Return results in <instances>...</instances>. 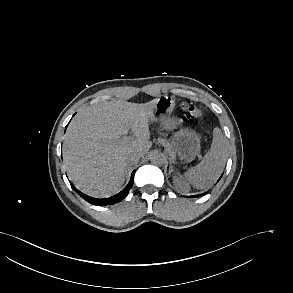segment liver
Returning a JSON list of instances; mask_svg holds the SVG:
<instances>
[{"instance_id":"6515ba94","label":"liver","mask_w":293,"mask_h":293,"mask_svg":"<svg viewBox=\"0 0 293 293\" xmlns=\"http://www.w3.org/2000/svg\"><path fill=\"white\" fill-rule=\"evenodd\" d=\"M157 101H106L75 115L65 135L63 161L78 189L96 197H109L121 189L128 154L143 157L152 147L149 121ZM129 128L134 138L126 140Z\"/></svg>"}]
</instances>
